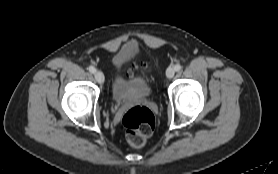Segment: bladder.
<instances>
[{"instance_id":"bladder-1","label":"bladder","mask_w":278,"mask_h":174,"mask_svg":"<svg viewBox=\"0 0 278 174\" xmlns=\"http://www.w3.org/2000/svg\"><path fill=\"white\" fill-rule=\"evenodd\" d=\"M131 53L130 48L124 47L112 58L114 70L112 96L116 102H127L147 98L152 91L148 78L141 75L126 78L122 75L121 68L130 58Z\"/></svg>"}]
</instances>
